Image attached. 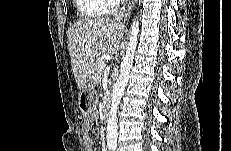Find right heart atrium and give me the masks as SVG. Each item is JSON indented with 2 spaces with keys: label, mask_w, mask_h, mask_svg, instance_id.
Wrapping results in <instances>:
<instances>
[{
  "label": "right heart atrium",
  "mask_w": 231,
  "mask_h": 151,
  "mask_svg": "<svg viewBox=\"0 0 231 151\" xmlns=\"http://www.w3.org/2000/svg\"><path fill=\"white\" fill-rule=\"evenodd\" d=\"M118 6H119V1L117 0H106L105 1L106 12H113L117 10Z\"/></svg>",
  "instance_id": "d8ad5b80"
}]
</instances>
